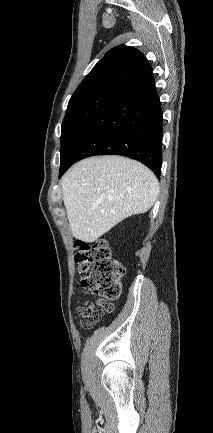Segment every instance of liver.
I'll use <instances>...</instances> for the list:
<instances>
[{
    "mask_svg": "<svg viewBox=\"0 0 213 433\" xmlns=\"http://www.w3.org/2000/svg\"><path fill=\"white\" fill-rule=\"evenodd\" d=\"M61 187L73 236L90 243L122 220L147 212L159 192L149 168L121 156L79 161L64 174Z\"/></svg>",
    "mask_w": 213,
    "mask_h": 433,
    "instance_id": "6515ba94",
    "label": "liver"
}]
</instances>
